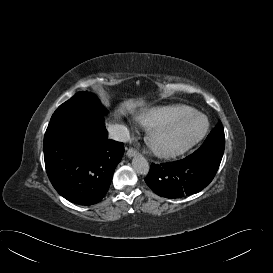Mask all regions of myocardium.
Instances as JSON below:
<instances>
[{"label":"myocardium","instance_id":"f54148a6","mask_svg":"<svg viewBox=\"0 0 273 273\" xmlns=\"http://www.w3.org/2000/svg\"><path fill=\"white\" fill-rule=\"evenodd\" d=\"M196 118L201 119L203 121V125L200 128V130L197 132V134L190 141H188L182 145L172 146V147H161L158 145L157 138L160 135H162L168 131H171L175 128H178V127L184 125L185 123L189 122L190 120H193ZM208 129H209V121H208L207 117L202 113L193 111L190 114L186 115L185 117L176 121L173 124L154 127L150 131V133L147 137V142H148L150 149L156 155H158L160 157H165V158L175 157V156H178V155H181V154L187 152L192 147H194L196 144H198L204 138Z\"/></svg>","mask_w":273,"mask_h":273}]
</instances>
